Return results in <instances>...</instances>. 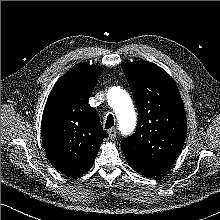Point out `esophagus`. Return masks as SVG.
I'll return each instance as SVG.
<instances>
[{
    "instance_id": "34e87169",
    "label": "esophagus",
    "mask_w": 220,
    "mask_h": 220,
    "mask_svg": "<svg viewBox=\"0 0 220 220\" xmlns=\"http://www.w3.org/2000/svg\"><path fill=\"white\" fill-rule=\"evenodd\" d=\"M117 129L116 128H112V129H110L109 131H108V134H109V138L111 139V140H114L115 138H116V136H117Z\"/></svg>"
}]
</instances>
